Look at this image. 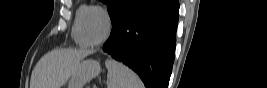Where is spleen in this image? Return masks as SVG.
Instances as JSON below:
<instances>
[{
    "mask_svg": "<svg viewBox=\"0 0 267 88\" xmlns=\"http://www.w3.org/2000/svg\"><path fill=\"white\" fill-rule=\"evenodd\" d=\"M105 65L108 70V88H144L139 76L123 63L107 59Z\"/></svg>",
    "mask_w": 267,
    "mask_h": 88,
    "instance_id": "spleen-1",
    "label": "spleen"
}]
</instances>
